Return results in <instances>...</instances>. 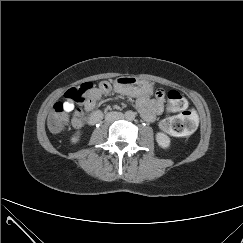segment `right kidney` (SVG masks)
I'll return each instance as SVG.
<instances>
[{
    "label": "right kidney",
    "instance_id": "obj_1",
    "mask_svg": "<svg viewBox=\"0 0 243 243\" xmlns=\"http://www.w3.org/2000/svg\"><path fill=\"white\" fill-rule=\"evenodd\" d=\"M80 135H81V134H80L79 131L76 132V134L71 138V142H72L73 144L77 143V142L79 141Z\"/></svg>",
    "mask_w": 243,
    "mask_h": 243
}]
</instances>
